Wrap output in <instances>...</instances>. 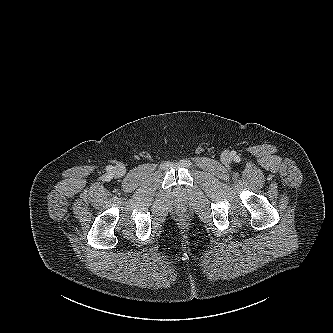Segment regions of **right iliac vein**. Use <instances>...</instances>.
Segmentation results:
<instances>
[{"instance_id": "right-iliac-vein-1", "label": "right iliac vein", "mask_w": 333, "mask_h": 333, "mask_svg": "<svg viewBox=\"0 0 333 333\" xmlns=\"http://www.w3.org/2000/svg\"><path fill=\"white\" fill-rule=\"evenodd\" d=\"M116 173H117V175L121 176V175H123L125 173V170H124V168H118L116 170Z\"/></svg>"}]
</instances>
